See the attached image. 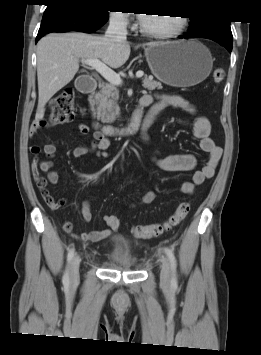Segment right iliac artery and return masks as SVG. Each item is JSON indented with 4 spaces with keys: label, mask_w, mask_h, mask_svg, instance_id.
Listing matches in <instances>:
<instances>
[{
    "label": "right iliac artery",
    "mask_w": 261,
    "mask_h": 355,
    "mask_svg": "<svg viewBox=\"0 0 261 355\" xmlns=\"http://www.w3.org/2000/svg\"><path fill=\"white\" fill-rule=\"evenodd\" d=\"M73 256H74V250L70 249L69 252H68V255H67L68 265H67L66 271H65L64 276H63V283L65 285L69 284V264L72 261Z\"/></svg>",
    "instance_id": "1"
}]
</instances>
